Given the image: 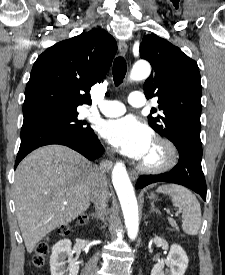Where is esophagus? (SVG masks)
I'll return each mask as SVG.
<instances>
[{"instance_id": "esophagus-1", "label": "esophagus", "mask_w": 225, "mask_h": 275, "mask_svg": "<svg viewBox=\"0 0 225 275\" xmlns=\"http://www.w3.org/2000/svg\"><path fill=\"white\" fill-rule=\"evenodd\" d=\"M118 49H119L120 54L123 55V56H125L127 54V52H128V46H127L126 42L123 41V40H120L118 42ZM129 175H130V178L132 180H136L137 177H138L137 172L134 171V170H130Z\"/></svg>"}]
</instances>
